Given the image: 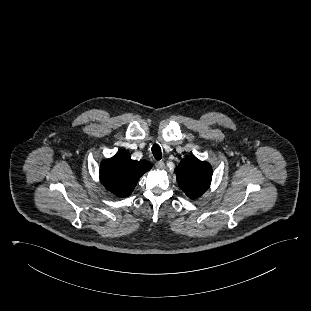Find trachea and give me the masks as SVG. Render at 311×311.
<instances>
[{
    "instance_id": "trachea-1",
    "label": "trachea",
    "mask_w": 311,
    "mask_h": 311,
    "mask_svg": "<svg viewBox=\"0 0 311 311\" xmlns=\"http://www.w3.org/2000/svg\"><path fill=\"white\" fill-rule=\"evenodd\" d=\"M151 150L156 160H160L162 158L161 147L158 144H154Z\"/></svg>"
}]
</instances>
